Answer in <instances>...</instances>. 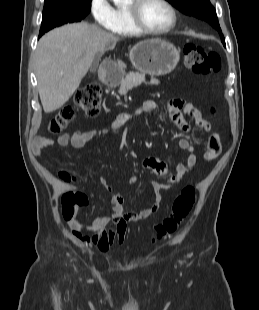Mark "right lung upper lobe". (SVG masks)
I'll return each instance as SVG.
<instances>
[{"label": "right lung upper lobe", "instance_id": "cb5924a9", "mask_svg": "<svg viewBox=\"0 0 259 310\" xmlns=\"http://www.w3.org/2000/svg\"><path fill=\"white\" fill-rule=\"evenodd\" d=\"M57 1H64V0H45V3L57 2Z\"/></svg>", "mask_w": 259, "mask_h": 310}]
</instances>
